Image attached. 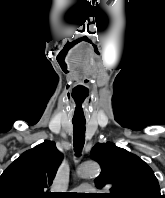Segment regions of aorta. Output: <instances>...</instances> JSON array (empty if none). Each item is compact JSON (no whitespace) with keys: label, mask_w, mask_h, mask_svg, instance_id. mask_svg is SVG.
<instances>
[{"label":"aorta","mask_w":165,"mask_h":198,"mask_svg":"<svg viewBox=\"0 0 165 198\" xmlns=\"http://www.w3.org/2000/svg\"><path fill=\"white\" fill-rule=\"evenodd\" d=\"M100 172V167L96 163H84L77 169V175L80 178L96 176Z\"/></svg>","instance_id":"762f6f07"}]
</instances>
